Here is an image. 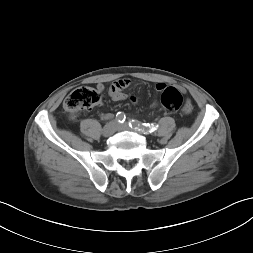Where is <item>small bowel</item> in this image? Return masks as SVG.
<instances>
[{"label":"small bowel","mask_w":253,"mask_h":253,"mask_svg":"<svg viewBox=\"0 0 253 253\" xmlns=\"http://www.w3.org/2000/svg\"><path fill=\"white\" fill-rule=\"evenodd\" d=\"M130 84V80L123 78V79H119L115 82L112 83L110 89H109V94L112 97L113 100L115 101H122L126 98V95L123 93V90L128 87ZM166 87L165 84L163 83H158L156 85V90L161 92L164 88ZM97 90L99 92L103 91L104 86L102 84H97L96 86ZM131 100L133 102H135V98L132 97ZM157 105V102L154 101L152 103V107H155ZM193 111V105L190 102H185L182 107H181V112L185 115V116H190L192 114ZM108 117V116H105Z\"/></svg>","instance_id":"small-bowel-1"}]
</instances>
